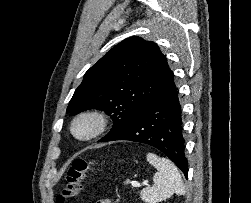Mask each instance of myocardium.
<instances>
[{
    "mask_svg": "<svg viewBox=\"0 0 251 203\" xmlns=\"http://www.w3.org/2000/svg\"><path fill=\"white\" fill-rule=\"evenodd\" d=\"M110 116L103 110L90 109L78 113L72 120L70 131L74 138L79 141H90L103 134L110 124ZM83 121H89L92 124L91 129L85 134H78L76 127Z\"/></svg>",
    "mask_w": 251,
    "mask_h": 203,
    "instance_id": "obj_1",
    "label": "myocardium"
}]
</instances>
